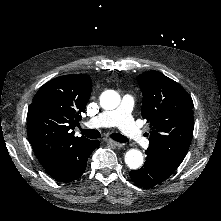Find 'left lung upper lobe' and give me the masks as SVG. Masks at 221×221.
Here are the masks:
<instances>
[{
	"mask_svg": "<svg viewBox=\"0 0 221 221\" xmlns=\"http://www.w3.org/2000/svg\"><path fill=\"white\" fill-rule=\"evenodd\" d=\"M138 82L143 93L141 114L151 127L148 150L177 169L193 135V101L180 84L160 72H144Z\"/></svg>",
	"mask_w": 221,
	"mask_h": 221,
	"instance_id": "5c2ea615",
	"label": "left lung upper lobe"
}]
</instances>
